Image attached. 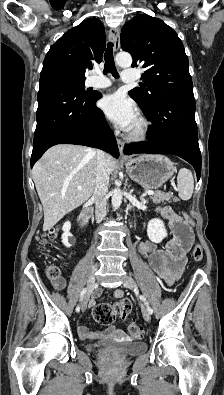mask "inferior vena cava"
Masks as SVG:
<instances>
[{"label":"inferior vena cava","mask_w":224,"mask_h":395,"mask_svg":"<svg viewBox=\"0 0 224 395\" xmlns=\"http://www.w3.org/2000/svg\"><path fill=\"white\" fill-rule=\"evenodd\" d=\"M109 175L110 169L108 166L107 154L102 150H98L95 187L92 196L95 203V216L97 223H100L106 216Z\"/></svg>","instance_id":"inferior-vena-cava-1"}]
</instances>
